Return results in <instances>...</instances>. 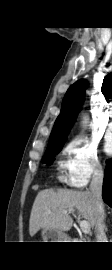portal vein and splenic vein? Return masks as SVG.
Masks as SVG:
<instances>
[{
    "label": "portal vein and splenic vein",
    "instance_id": "1",
    "mask_svg": "<svg viewBox=\"0 0 112 270\" xmlns=\"http://www.w3.org/2000/svg\"><path fill=\"white\" fill-rule=\"evenodd\" d=\"M69 212H71V211H69ZM78 223H79V226H80L81 230H82L85 234L90 233V225H89L88 221H86V220H80V219L78 218Z\"/></svg>",
    "mask_w": 112,
    "mask_h": 270
}]
</instances>
